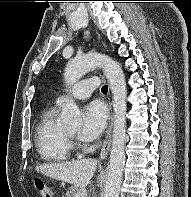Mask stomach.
<instances>
[{
	"label": "stomach",
	"mask_w": 191,
	"mask_h": 197,
	"mask_svg": "<svg viewBox=\"0 0 191 197\" xmlns=\"http://www.w3.org/2000/svg\"><path fill=\"white\" fill-rule=\"evenodd\" d=\"M67 197H86V190L78 186H71L67 191Z\"/></svg>",
	"instance_id": "stomach-1"
}]
</instances>
